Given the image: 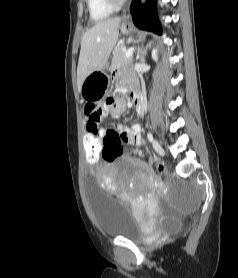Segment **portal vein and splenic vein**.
Returning a JSON list of instances; mask_svg holds the SVG:
<instances>
[{
  "label": "portal vein and splenic vein",
  "instance_id": "obj_1",
  "mask_svg": "<svg viewBox=\"0 0 238 278\" xmlns=\"http://www.w3.org/2000/svg\"><path fill=\"white\" fill-rule=\"evenodd\" d=\"M133 52H134V48H129L127 51H126V58H129L133 55Z\"/></svg>",
  "mask_w": 238,
  "mask_h": 278
}]
</instances>
